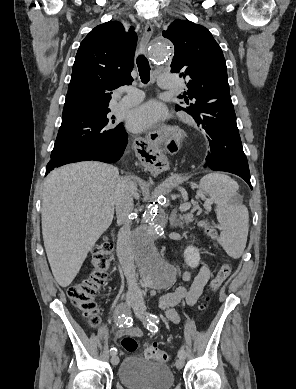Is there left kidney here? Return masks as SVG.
I'll return each mask as SVG.
<instances>
[{
    "mask_svg": "<svg viewBox=\"0 0 296 389\" xmlns=\"http://www.w3.org/2000/svg\"><path fill=\"white\" fill-rule=\"evenodd\" d=\"M184 260L191 268H196L199 265L200 254L196 247L188 246L184 251Z\"/></svg>",
    "mask_w": 296,
    "mask_h": 389,
    "instance_id": "obj_1",
    "label": "left kidney"
}]
</instances>
